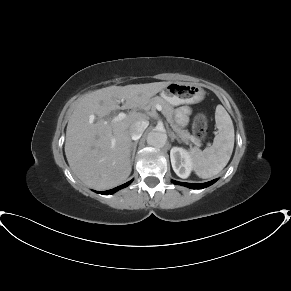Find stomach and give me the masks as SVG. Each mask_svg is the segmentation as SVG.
Here are the masks:
<instances>
[{
  "instance_id": "obj_1",
  "label": "stomach",
  "mask_w": 291,
  "mask_h": 291,
  "mask_svg": "<svg viewBox=\"0 0 291 291\" xmlns=\"http://www.w3.org/2000/svg\"><path fill=\"white\" fill-rule=\"evenodd\" d=\"M161 96L172 105L196 103L204 98V90L190 83L170 82L161 90Z\"/></svg>"
}]
</instances>
